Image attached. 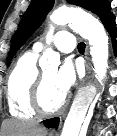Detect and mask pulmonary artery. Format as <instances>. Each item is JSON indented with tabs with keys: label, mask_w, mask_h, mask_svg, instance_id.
Segmentation results:
<instances>
[{
	"label": "pulmonary artery",
	"mask_w": 117,
	"mask_h": 136,
	"mask_svg": "<svg viewBox=\"0 0 117 136\" xmlns=\"http://www.w3.org/2000/svg\"><path fill=\"white\" fill-rule=\"evenodd\" d=\"M51 45L61 52L69 53L75 49L76 41L72 32L63 29L55 34L51 42ZM46 46L47 44L44 42H36L33 45V50L38 53L43 51L46 48Z\"/></svg>",
	"instance_id": "obj_1"
}]
</instances>
